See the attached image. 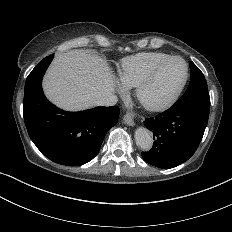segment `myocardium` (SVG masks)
Returning <instances> with one entry per match:
<instances>
[{"label": "myocardium", "instance_id": "f54148a6", "mask_svg": "<svg viewBox=\"0 0 232 232\" xmlns=\"http://www.w3.org/2000/svg\"><path fill=\"white\" fill-rule=\"evenodd\" d=\"M172 61H181L184 63L185 68H186L184 80L179 86V88L166 101H164L163 103L159 105H155V106L142 105L139 101V98H140L141 91L143 90L145 85L149 83L162 68H164L168 63ZM189 76H190V68H189L188 62L184 58H181L179 56H170L166 60L155 65L139 80V82L135 86L134 97L137 103L139 104V106L143 108L144 110L148 112H153V113L164 112L176 103V101L178 100V98L180 97V95L182 94L183 90L185 89L187 85Z\"/></svg>", "mask_w": 232, "mask_h": 232}]
</instances>
